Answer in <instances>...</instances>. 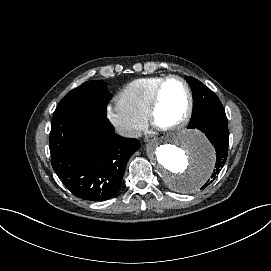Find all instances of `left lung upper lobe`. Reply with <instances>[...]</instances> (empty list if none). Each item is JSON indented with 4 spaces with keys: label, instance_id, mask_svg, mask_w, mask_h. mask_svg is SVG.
<instances>
[{
    "label": "left lung upper lobe",
    "instance_id": "5c2ea615",
    "mask_svg": "<svg viewBox=\"0 0 271 271\" xmlns=\"http://www.w3.org/2000/svg\"><path fill=\"white\" fill-rule=\"evenodd\" d=\"M187 82L190 84L193 91V112L191 121L188 126L194 124L204 110L211 106H221L219 98L207 86L202 84L197 79L186 76Z\"/></svg>",
    "mask_w": 271,
    "mask_h": 271
}]
</instances>
